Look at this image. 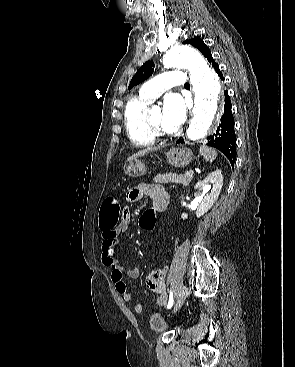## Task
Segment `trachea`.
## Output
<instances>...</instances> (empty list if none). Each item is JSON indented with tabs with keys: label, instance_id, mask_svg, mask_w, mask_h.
<instances>
[{
	"label": "trachea",
	"instance_id": "3493384b",
	"mask_svg": "<svg viewBox=\"0 0 295 367\" xmlns=\"http://www.w3.org/2000/svg\"><path fill=\"white\" fill-rule=\"evenodd\" d=\"M185 87H189L190 85H189V83H185V85H184Z\"/></svg>",
	"mask_w": 295,
	"mask_h": 367
}]
</instances>
